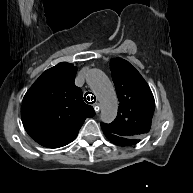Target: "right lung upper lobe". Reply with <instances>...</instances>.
Instances as JSON below:
<instances>
[{
    "instance_id": "obj_1",
    "label": "right lung upper lobe",
    "mask_w": 193,
    "mask_h": 193,
    "mask_svg": "<svg viewBox=\"0 0 193 193\" xmlns=\"http://www.w3.org/2000/svg\"><path fill=\"white\" fill-rule=\"evenodd\" d=\"M77 68L66 62L46 70L24 96L22 122L40 145L58 148L72 142L93 107L83 102L75 86Z\"/></svg>"
}]
</instances>
